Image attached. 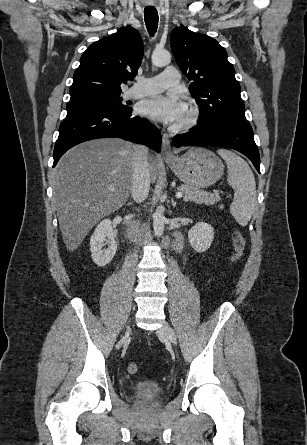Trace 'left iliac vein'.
<instances>
[{"mask_svg":"<svg viewBox=\"0 0 307 445\" xmlns=\"http://www.w3.org/2000/svg\"><path fill=\"white\" fill-rule=\"evenodd\" d=\"M157 334L174 345L177 343L176 334L167 322H163L162 326L157 330Z\"/></svg>","mask_w":307,"mask_h":445,"instance_id":"1","label":"left iliac vein"}]
</instances>
